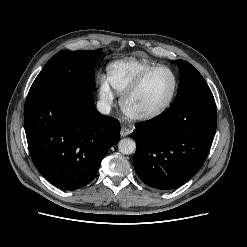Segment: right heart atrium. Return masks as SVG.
I'll use <instances>...</instances> for the list:
<instances>
[{"instance_id": "right-heart-atrium-1", "label": "right heart atrium", "mask_w": 247, "mask_h": 247, "mask_svg": "<svg viewBox=\"0 0 247 247\" xmlns=\"http://www.w3.org/2000/svg\"><path fill=\"white\" fill-rule=\"evenodd\" d=\"M98 93L101 101L107 105L113 103L115 99V94L112 87L105 77H101L99 80Z\"/></svg>"}]
</instances>
